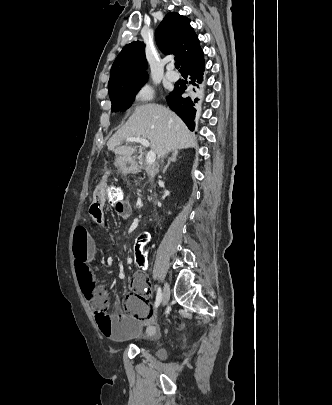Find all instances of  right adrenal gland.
Segmentation results:
<instances>
[{
	"instance_id": "obj_1",
	"label": "right adrenal gland",
	"mask_w": 332,
	"mask_h": 405,
	"mask_svg": "<svg viewBox=\"0 0 332 405\" xmlns=\"http://www.w3.org/2000/svg\"><path fill=\"white\" fill-rule=\"evenodd\" d=\"M177 156H178V151H177V150H174V151L172 152L171 157L168 159V163H167V165L165 166V168H164V170H163V173H165V172L167 171V168L169 167V165H170L171 162H176Z\"/></svg>"
}]
</instances>
